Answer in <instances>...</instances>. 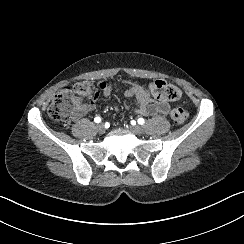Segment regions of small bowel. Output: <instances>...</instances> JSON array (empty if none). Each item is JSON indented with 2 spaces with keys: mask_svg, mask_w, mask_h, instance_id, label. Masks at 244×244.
Instances as JSON below:
<instances>
[{
  "mask_svg": "<svg viewBox=\"0 0 244 244\" xmlns=\"http://www.w3.org/2000/svg\"><path fill=\"white\" fill-rule=\"evenodd\" d=\"M122 82L130 86L124 92V99L129 105L132 101L135 102L134 106H130L133 113L142 116L167 115L169 113L170 105L165 101L155 100L143 86L131 81ZM99 87L102 98L106 99L111 96L113 91V85L111 83L101 82ZM97 107L98 104L96 101L85 103L75 112L74 117L76 119L82 118L86 114L95 111Z\"/></svg>",
  "mask_w": 244,
  "mask_h": 244,
  "instance_id": "1",
  "label": "small bowel"
}]
</instances>
